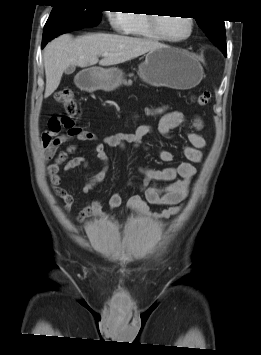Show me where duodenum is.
<instances>
[{"label":"duodenum","mask_w":261,"mask_h":355,"mask_svg":"<svg viewBox=\"0 0 261 355\" xmlns=\"http://www.w3.org/2000/svg\"><path fill=\"white\" fill-rule=\"evenodd\" d=\"M81 86H82V87H87V85H86V84H84V83H82V84H81Z\"/></svg>","instance_id":"duodenum-1"}]
</instances>
